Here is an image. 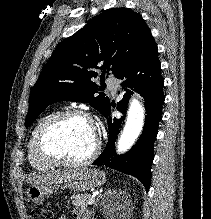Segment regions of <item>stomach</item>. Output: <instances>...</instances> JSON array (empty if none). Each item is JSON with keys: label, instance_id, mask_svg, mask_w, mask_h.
I'll return each instance as SVG.
<instances>
[{"label": "stomach", "instance_id": "1", "mask_svg": "<svg viewBox=\"0 0 211 219\" xmlns=\"http://www.w3.org/2000/svg\"><path fill=\"white\" fill-rule=\"evenodd\" d=\"M106 181V175L104 172L98 169L83 168L78 170L76 177L64 183L52 185H31L27 190L28 198L37 205L43 204L45 198H48L58 190L70 189L73 191L84 192L91 188H96L103 185Z\"/></svg>", "mask_w": 211, "mask_h": 219}]
</instances>
